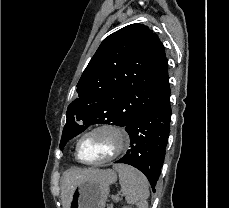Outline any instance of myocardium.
Wrapping results in <instances>:
<instances>
[{
  "mask_svg": "<svg viewBox=\"0 0 229 208\" xmlns=\"http://www.w3.org/2000/svg\"><path fill=\"white\" fill-rule=\"evenodd\" d=\"M103 129H109V130H103ZM88 134H89L88 136L89 139H102L103 135H106L105 137L107 138L106 141L108 143H112L113 147H120V148L114 154L102 158L100 160H84L80 154V143L83 140V138ZM89 139L87 138L85 141L88 143L90 141ZM129 145H130V137L128 132L125 130V128L113 123H101L89 128L79 136L75 144V156L77 160L83 164L97 165V164L107 163L121 156L127 150Z\"/></svg>",
  "mask_w": 229,
  "mask_h": 208,
  "instance_id": "myocardium-1",
  "label": "myocardium"
}]
</instances>
